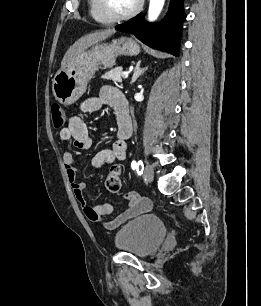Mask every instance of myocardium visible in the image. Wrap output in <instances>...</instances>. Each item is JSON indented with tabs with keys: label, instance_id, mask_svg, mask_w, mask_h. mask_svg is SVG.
I'll list each match as a JSON object with an SVG mask.
<instances>
[{
	"label": "myocardium",
	"instance_id": "1",
	"mask_svg": "<svg viewBox=\"0 0 261 306\" xmlns=\"http://www.w3.org/2000/svg\"><path fill=\"white\" fill-rule=\"evenodd\" d=\"M99 1H100V7H101L102 12L111 21H123V20H127V19L134 17L140 12L144 4V0H138L135 7L131 9L129 12L124 13V14H118L112 9V6L109 0H99Z\"/></svg>",
	"mask_w": 261,
	"mask_h": 306
}]
</instances>
